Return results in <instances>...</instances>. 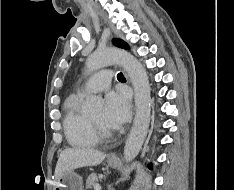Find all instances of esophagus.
<instances>
[{
    "instance_id": "34e87169",
    "label": "esophagus",
    "mask_w": 234,
    "mask_h": 190,
    "mask_svg": "<svg viewBox=\"0 0 234 190\" xmlns=\"http://www.w3.org/2000/svg\"><path fill=\"white\" fill-rule=\"evenodd\" d=\"M109 158H110V159H116L117 157H116L115 154H111V155L109 156Z\"/></svg>"
}]
</instances>
